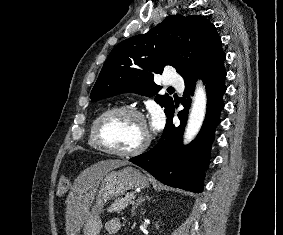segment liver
<instances>
[{
	"label": "liver",
	"mask_w": 283,
	"mask_h": 235,
	"mask_svg": "<svg viewBox=\"0 0 283 235\" xmlns=\"http://www.w3.org/2000/svg\"><path fill=\"white\" fill-rule=\"evenodd\" d=\"M127 164L128 162L121 160H105L93 164L79 174L67 198V235H77L79 233L102 178L111 170Z\"/></svg>",
	"instance_id": "1"
}]
</instances>
